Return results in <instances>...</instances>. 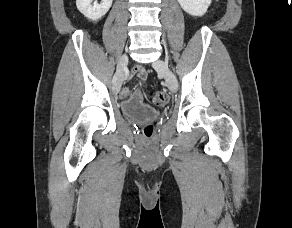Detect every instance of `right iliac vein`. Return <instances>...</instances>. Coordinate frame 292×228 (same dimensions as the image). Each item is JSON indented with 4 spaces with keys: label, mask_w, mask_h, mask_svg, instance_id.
Returning <instances> with one entry per match:
<instances>
[{
    "label": "right iliac vein",
    "mask_w": 292,
    "mask_h": 228,
    "mask_svg": "<svg viewBox=\"0 0 292 228\" xmlns=\"http://www.w3.org/2000/svg\"><path fill=\"white\" fill-rule=\"evenodd\" d=\"M128 64V56L124 54L118 61L117 64V79L113 85V93L117 94L122 86L123 78H124V70Z\"/></svg>",
    "instance_id": "1"
}]
</instances>
